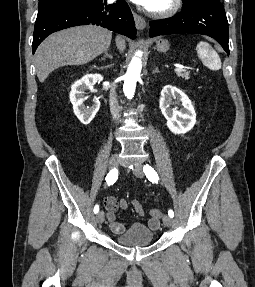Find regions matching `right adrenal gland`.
Instances as JSON below:
<instances>
[{
    "label": "right adrenal gland",
    "mask_w": 255,
    "mask_h": 287,
    "mask_svg": "<svg viewBox=\"0 0 255 287\" xmlns=\"http://www.w3.org/2000/svg\"><path fill=\"white\" fill-rule=\"evenodd\" d=\"M105 56H103V58H101V62H103V60H105V58H110V60H113V56H110V54H108L107 50L106 52H104Z\"/></svg>",
    "instance_id": "obj_1"
}]
</instances>
